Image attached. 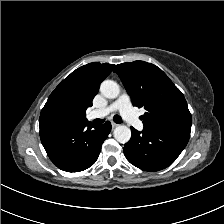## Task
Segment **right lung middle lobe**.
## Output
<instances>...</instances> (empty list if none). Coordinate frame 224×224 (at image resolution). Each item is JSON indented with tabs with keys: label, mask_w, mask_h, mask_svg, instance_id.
I'll list each match as a JSON object with an SVG mask.
<instances>
[{
	"label": "right lung middle lobe",
	"mask_w": 224,
	"mask_h": 224,
	"mask_svg": "<svg viewBox=\"0 0 224 224\" xmlns=\"http://www.w3.org/2000/svg\"><path fill=\"white\" fill-rule=\"evenodd\" d=\"M40 116H50L69 121H78V117L73 106L63 98H53L47 100Z\"/></svg>",
	"instance_id": "right-lung-middle-lobe-1"
}]
</instances>
